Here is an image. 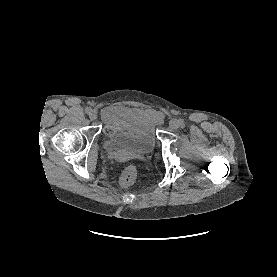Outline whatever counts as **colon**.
Wrapping results in <instances>:
<instances>
[{"label": "colon", "mask_w": 277, "mask_h": 277, "mask_svg": "<svg viewBox=\"0 0 277 277\" xmlns=\"http://www.w3.org/2000/svg\"><path fill=\"white\" fill-rule=\"evenodd\" d=\"M137 177V170L135 166L128 165L122 172L120 178H119V184L122 187H129L131 186Z\"/></svg>", "instance_id": "5ec220e1"}]
</instances>
